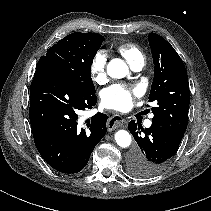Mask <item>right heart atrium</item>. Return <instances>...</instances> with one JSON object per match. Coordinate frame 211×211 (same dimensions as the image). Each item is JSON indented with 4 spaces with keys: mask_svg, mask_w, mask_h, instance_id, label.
<instances>
[{
    "mask_svg": "<svg viewBox=\"0 0 211 211\" xmlns=\"http://www.w3.org/2000/svg\"><path fill=\"white\" fill-rule=\"evenodd\" d=\"M106 54L98 51L90 62V74L97 83H103L106 80Z\"/></svg>",
    "mask_w": 211,
    "mask_h": 211,
    "instance_id": "right-heart-atrium-1",
    "label": "right heart atrium"
}]
</instances>
